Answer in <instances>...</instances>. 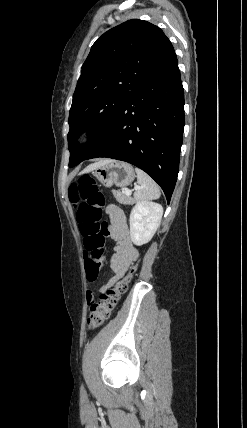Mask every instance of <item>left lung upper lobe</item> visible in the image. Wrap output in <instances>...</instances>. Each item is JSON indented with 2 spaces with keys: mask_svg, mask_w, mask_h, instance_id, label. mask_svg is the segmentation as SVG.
I'll return each instance as SVG.
<instances>
[{
  "mask_svg": "<svg viewBox=\"0 0 247 428\" xmlns=\"http://www.w3.org/2000/svg\"><path fill=\"white\" fill-rule=\"evenodd\" d=\"M174 53L163 31L144 20H129L104 33L82 66L69 115V166L89 155L119 108ZM92 129L87 146L79 134Z\"/></svg>",
  "mask_w": 247,
  "mask_h": 428,
  "instance_id": "obj_1",
  "label": "left lung upper lobe"
}]
</instances>
